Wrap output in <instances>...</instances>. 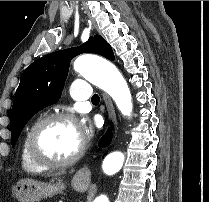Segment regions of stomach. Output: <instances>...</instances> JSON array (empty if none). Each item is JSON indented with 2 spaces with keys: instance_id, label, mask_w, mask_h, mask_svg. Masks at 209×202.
Instances as JSON below:
<instances>
[{
  "instance_id": "obj_1",
  "label": "stomach",
  "mask_w": 209,
  "mask_h": 202,
  "mask_svg": "<svg viewBox=\"0 0 209 202\" xmlns=\"http://www.w3.org/2000/svg\"><path fill=\"white\" fill-rule=\"evenodd\" d=\"M75 190L84 192L89 187V181L75 175L72 179ZM65 185L61 179L56 183H41L32 179H22L14 186V195L19 202H39L42 198L52 197L61 193Z\"/></svg>"
}]
</instances>
